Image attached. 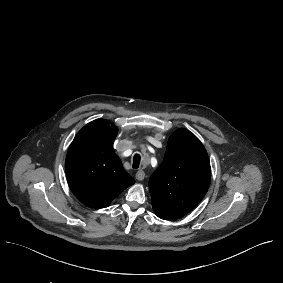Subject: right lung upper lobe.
Listing matches in <instances>:
<instances>
[{
	"instance_id": "right-lung-upper-lobe-1",
	"label": "right lung upper lobe",
	"mask_w": 283,
	"mask_h": 283,
	"mask_svg": "<svg viewBox=\"0 0 283 283\" xmlns=\"http://www.w3.org/2000/svg\"><path fill=\"white\" fill-rule=\"evenodd\" d=\"M118 129L104 119L84 126L71 143L65 170L68 184L85 205L105 208L135 180L123 168L113 142Z\"/></svg>"
}]
</instances>
